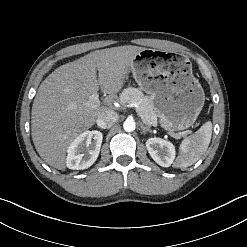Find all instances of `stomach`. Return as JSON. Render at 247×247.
Instances as JSON below:
<instances>
[{"label": "stomach", "instance_id": "obj_1", "mask_svg": "<svg viewBox=\"0 0 247 247\" xmlns=\"http://www.w3.org/2000/svg\"><path fill=\"white\" fill-rule=\"evenodd\" d=\"M149 95L160 126L167 131L191 127L201 112L205 95L186 57L174 52L145 49L126 70Z\"/></svg>", "mask_w": 247, "mask_h": 247}]
</instances>
